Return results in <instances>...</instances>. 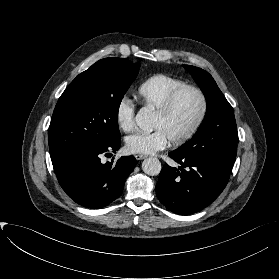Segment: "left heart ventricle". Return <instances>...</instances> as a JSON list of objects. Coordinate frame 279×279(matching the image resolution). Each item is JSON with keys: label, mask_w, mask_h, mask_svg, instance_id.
<instances>
[{"label": "left heart ventricle", "mask_w": 279, "mask_h": 279, "mask_svg": "<svg viewBox=\"0 0 279 279\" xmlns=\"http://www.w3.org/2000/svg\"><path fill=\"white\" fill-rule=\"evenodd\" d=\"M200 110L199 96L193 91H185L177 98L168 115L155 114L152 128L163 130L169 140L178 138L191 128Z\"/></svg>", "instance_id": "left-heart-ventricle-1"}]
</instances>
